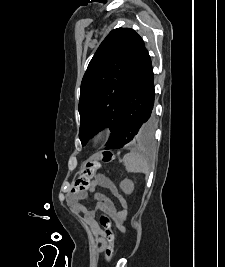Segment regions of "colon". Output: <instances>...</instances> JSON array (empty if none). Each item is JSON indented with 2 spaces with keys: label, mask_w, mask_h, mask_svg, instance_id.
<instances>
[{
  "label": "colon",
  "mask_w": 225,
  "mask_h": 267,
  "mask_svg": "<svg viewBox=\"0 0 225 267\" xmlns=\"http://www.w3.org/2000/svg\"><path fill=\"white\" fill-rule=\"evenodd\" d=\"M114 161V155L110 151H103L88 159L76 179L73 192L82 193L89 188L90 180L95 175L100 163H111ZM100 224L104 228L107 244L105 246V260L106 263H110L115 248V237L111 230V220L107 212H102L99 218Z\"/></svg>",
  "instance_id": "1"
}]
</instances>
